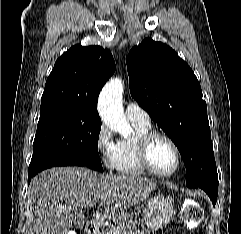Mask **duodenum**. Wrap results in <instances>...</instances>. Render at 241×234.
I'll return each mask as SVG.
<instances>
[{
	"label": "duodenum",
	"instance_id": "1",
	"mask_svg": "<svg viewBox=\"0 0 241 234\" xmlns=\"http://www.w3.org/2000/svg\"><path fill=\"white\" fill-rule=\"evenodd\" d=\"M101 221V214L99 212L95 213L86 225V230L88 234H96L101 225Z\"/></svg>",
	"mask_w": 241,
	"mask_h": 234
}]
</instances>
